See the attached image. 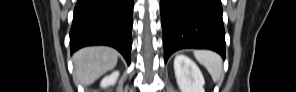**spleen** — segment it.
<instances>
[{
	"label": "spleen",
	"instance_id": "1",
	"mask_svg": "<svg viewBox=\"0 0 296 92\" xmlns=\"http://www.w3.org/2000/svg\"><path fill=\"white\" fill-rule=\"evenodd\" d=\"M194 56L199 63L205 66L214 82L221 78L223 67L222 59L218 54L207 50H196Z\"/></svg>",
	"mask_w": 296,
	"mask_h": 92
}]
</instances>
